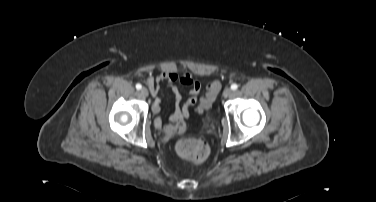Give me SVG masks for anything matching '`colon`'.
<instances>
[{
	"label": "colon",
	"instance_id": "obj_1",
	"mask_svg": "<svg viewBox=\"0 0 376 202\" xmlns=\"http://www.w3.org/2000/svg\"><path fill=\"white\" fill-rule=\"evenodd\" d=\"M221 90L220 81L216 80L210 83L207 87V96L203 103L200 105L199 110H204L210 104V102L216 97ZM182 124H176L171 130L180 131ZM177 155L186 161L192 163H201L209 155L208 144L198 138H183L176 144Z\"/></svg>",
	"mask_w": 376,
	"mask_h": 202
}]
</instances>
